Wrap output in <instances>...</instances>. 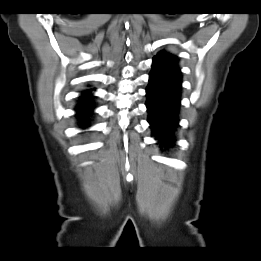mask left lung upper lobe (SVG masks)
I'll list each match as a JSON object with an SVG mask.
<instances>
[{"label": "left lung upper lobe", "mask_w": 261, "mask_h": 261, "mask_svg": "<svg viewBox=\"0 0 261 261\" xmlns=\"http://www.w3.org/2000/svg\"><path fill=\"white\" fill-rule=\"evenodd\" d=\"M153 59L160 60L162 62L170 63L177 65L178 59L176 56L172 55L171 53H168L166 51H160L157 56H155Z\"/></svg>", "instance_id": "5c2ea615"}]
</instances>
